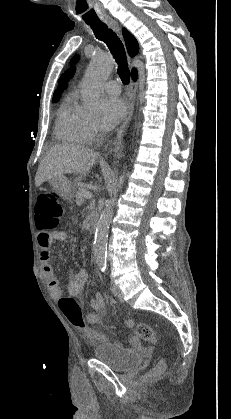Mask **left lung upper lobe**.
Here are the masks:
<instances>
[{"label":"left lung upper lobe","mask_w":231,"mask_h":419,"mask_svg":"<svg viewBox=\"0 0 231 419\" xmlns=\"http://www.w3.org/2000/svg\"><path fill=\"white\" fill-rule=\"evenodd\" d=\"M78 59H79V56H78V55H75V56L72 58L71 63H72V64H75V63L78 61Z\"/></svg>","instance_id":"5c2ea615"}]
</instances>
